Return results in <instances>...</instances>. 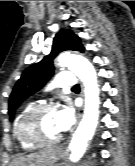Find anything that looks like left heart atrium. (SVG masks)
<instances>
[{
  "instance_id": "1",
  "label": "left heart atrium",
  "mask_w": 135,
  "mask_h": 166,
  "mask_svg": "<svg viewBox=\"0 0 135 166\" xmlns=\"http://www.w3.org/2000/svg\"><path fill=\"white\" fill-rule=\"evenodd\" d=\"M74 122L73 109L69 106L57 111V125L60 132L68 130Z\"/></svg>"
}]
</instances>
